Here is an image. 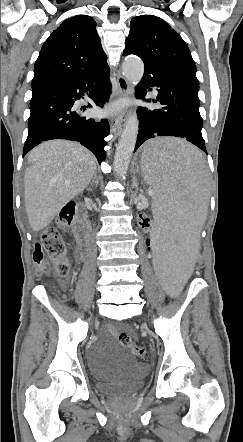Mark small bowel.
Returning <instances> with one entry per match:
<instances>
[{"mask_svg": "<svg viewBox=\"0 0 243 442\" xmlns=\"http://www.w3.org/2000/svg\"><path fill=\"white\" fill-rule=\"evenodd\" d=\"M110 331L114 332V329H113V328H110Z\"/></svg>", "mask_w": 243, "mask_h": 442, "instance_id": "1", "label": "small bowel"}]
</instances>
